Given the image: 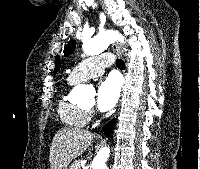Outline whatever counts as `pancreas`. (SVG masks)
<instances>
[{"label":"pancreas","instance_id":"obj_1","mask_svg":"<svg viewBox=\"0 0 200 169\" xmlns=\"http://www.w3.org/2000/svg\"><path fill=\"white\" fill-rule=\"evenodd\" d=\"M69 169H80V162L79 160H75L71 166L69 167Z\"/></svg>","mask_w":200,"mask_h":169}]
</instances>
